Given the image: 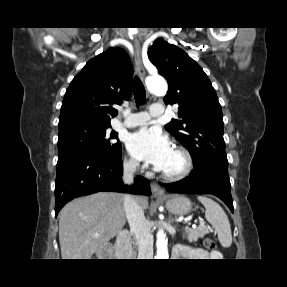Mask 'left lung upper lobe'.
I'll list each match as a JSON object with an SVG mask.
<instances>
[{
	"label": "left lung upper lobe",
	"instance_id": "5c2ea615",
	"mask_svg": "<svg viewBox=\"0 0 287 287\" xmlns=\"http://www.w3.org/2000/svg\"><path fill=\"white\" fill-rule=\"evenodd\" d=\"M149 60L168 80L165 104H178V119L165 128L190 152L193 171L228 173L224 123L216 92L203 69L186 52L163 39L148 50Z\"/></svg>",
	"mask_w": 287,
	"mask_h": 287
}]
</instances>
